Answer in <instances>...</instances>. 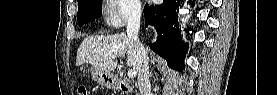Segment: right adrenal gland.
I'll list each match as a JSON object with an SVG mask.
<instances>
[{"mask_svg":"<svg viewBox=\"0 0 277 95\" xmlns=\"http://www.w3.org/2000/svg\"><path fill=\"white\" fill-rule=\"evenodd\" d=\"M150 77H152V72L150 73Z\"/></svg>","mask_w":277,"mask_h":95,"instance_id":"2a0ac1e0","label":"right adrenal gland"}]
</instances>
